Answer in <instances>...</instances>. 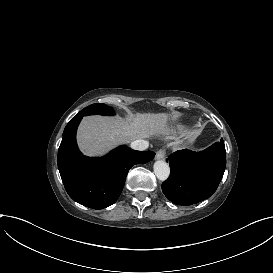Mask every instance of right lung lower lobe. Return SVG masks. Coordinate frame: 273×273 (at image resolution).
<instances>
[{"label":"right lung lower lobe","mask_w":273,"mask_h":273,"mask_svg":"<svg viewBox=\"0 0 273 273\" xmlns=\"http://www.w3.org/2000/svg\"><path fill=\"white\" fill-rule=\"evenodd\" d=\"M82 116H74L63 132L58 150V169L69 196L81 205L103 209L120 196L129 169L147 163L155 153L119 146L101 158L81 154L76 144V130Z\"/></svg>","instance_id":"98d812e1"}]
</instances>
